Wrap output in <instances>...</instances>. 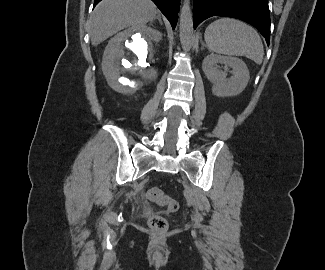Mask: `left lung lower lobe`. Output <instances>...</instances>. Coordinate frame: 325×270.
I'll use <instances>...</instances> for the list:
<instances>
[{
	"label": "left lung lower lobe",
	"instance_id": "obj_1",
	"mask_svg": "<svg viewBox=\"0 0 325 270\" xmlns=\"http://www.w3.org/2000/svg\"><path fill=\"white\" fill-rule=\"evenodd\" d=\"M212 16L233 17L253 25L265 37L269 45L268 0H193L194 29Z\"/></svg>",
	"mask_w": 325,
	"mask_h": 270
}]
</instances>
